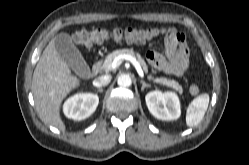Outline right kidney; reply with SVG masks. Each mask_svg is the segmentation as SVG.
I'll list each match as a JSON object with an SVG mask.
<instances>
[{"label": "right kidney", "mask_w": 249, "mask_h": 165, "mask_svg": "<svg viewBox=\"0 0 249 165\" xmlns=\"http://www.w3.org/2000/svg\"><path fill=\"white\" fill-rule=\"evenodd\" d=\"M99 97L92 93H79L66 100L63 112L66 117L80 121L89 117L97 108Z\"/></svg>", "instance_id": "1"}]
</instances>
